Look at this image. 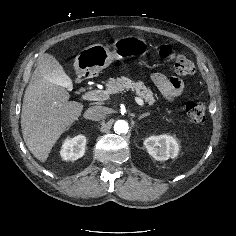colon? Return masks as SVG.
<instances>
[{
    "label": "colon",
    "instance_id": "colon-1",
    "mask_svg": "<svg viewBox=\"0 0 236 236\" xmlns=\"http://www.w3.org/2000/svg\"><path fill=\"white\" fill-rule=\"evenodd\" d=\"M159 56L173 63L174 70L182 76L191 75L195 71L194 63L181 54H177L170 46H163L159 50ZM185 111L190 119L196 124H202L206 121L205 105L199 100H192L186 103Z\"/></svg>",
    "mask_w": 236,
    "mask_h": 236
}]
</instances>
